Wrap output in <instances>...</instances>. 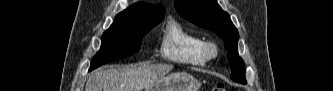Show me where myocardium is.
<instances>
[{"label":"myocardium","instance_id":"f54148a6","mask_svg":"<svg viewBox=\"0 0 333 91\" xmlns=\"http://www.w3.org/2000/svg\"><path fill=\"white\" fill-rule=\"evenodd\" d=\"M203 52L207 60L213 59L218 54V46L213 41H207L204 43Z\"/></svg>","mask_w":333,"mask_h":91}]
</instances>
